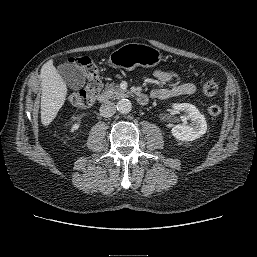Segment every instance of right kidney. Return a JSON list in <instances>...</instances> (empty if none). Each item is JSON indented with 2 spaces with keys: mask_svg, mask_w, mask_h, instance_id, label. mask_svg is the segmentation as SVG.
I'll use <instances>...</instances> for the list:
<instances>
[{
  "mask_svg": "<svg viewBox=\"0 0 257 257\" xmlns=\"http://www.w3.org/2000/svg\"><path fill=\"white\" fill-rule=\"evenodd\" d=\"M79 127H80V123L77 122V123H75L74 125H72L70 131L73 133L74 131L78 130Z\"/></svg>",
  "mask_w": 257,
  "mask_h": 257,
  "instance_id": "right-kidney-1",
  "label": "right kidney"
}]
</instances>
